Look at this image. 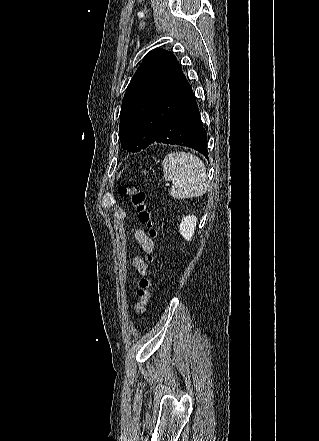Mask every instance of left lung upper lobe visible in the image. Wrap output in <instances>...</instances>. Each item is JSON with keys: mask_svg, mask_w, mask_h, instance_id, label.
Segmentation results:
<instances>
[{"mask_svg": "<svg viewBox=\"0 0 319 441\" xmlns=\"http://www.w3.org/2000/svg\"><path fill=\"white\" fill-rule=\"evenodd\" d=\"M190 87L172 52L151 50L132 77L122 101L119 127L122 148L131 152L147 148Z\"/></svg>", "mask_w": 319, "mask_h": 441, "instance_id": "obj_1", "label": "left lung upper lobe"}]
</instances>
